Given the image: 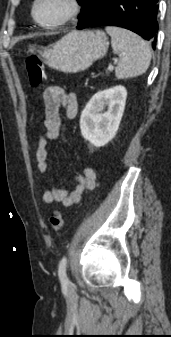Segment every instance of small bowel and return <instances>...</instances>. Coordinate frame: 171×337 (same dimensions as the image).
<instances>
[{"label":"small bowel","mask_w":171,"mask_h":337,"mask_svg":"<svg viewBox=\"0 0 171 337\" xmlns=\"http://www.w3.org/2000/svg\"><path fill=\"white\" fill-rule=\"evenodd\" d=\"M44 120L43 126L46 135H39L36 150L37 168L40 173L48 169L47 144L60 138L62 131L61 109L69 119L76 117L78 113V101L74 93L67 92L60 86H49L44 90ZM75 184L71 190L53 186L48 188L41 197V203L45 206L53 202L61 203L68 207L78 203L85 190H91L96 184V171L92 167L83 169L82 174L74 178Z\"/></svg>","instance_id":"1"}]
</instances>
